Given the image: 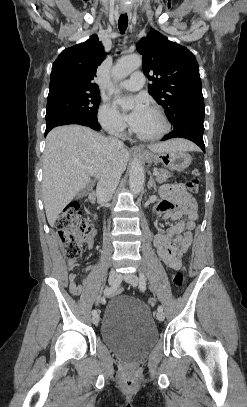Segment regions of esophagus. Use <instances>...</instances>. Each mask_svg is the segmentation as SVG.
Masks as SVG:
<instances>
[{
    "instance_id": "obj_1",
    "label": "esophagus",
    "mask_w": 247,
    "mask_h": 407,
    "mask_svg": "<svg viewBox=\"0 0 247 407\" xmlns=\"http://www.w3.org/2000/svg\"><path fill=\"white\" fill-rule=\"evenodd\" d=\"M121 11H122V13H127V12H129V9L123 7V8L121 9ZM141 149H142V148H140V147H138V146H132V147H131V151H139V150H141Z\"/></svg>"
}]
</instances>
